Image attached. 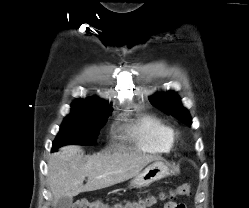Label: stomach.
Masks as SVG:
<instances>
[{
    "mask_svg": "<svg viewBox=\"0 0 249 208\" xmlns=\"http://www.w3.org/2000/svg\"><path fill=\"white\" fill-rule=\"evenodd\" d=\"M168 175H170L168 166L161 161H156L136 175L130 182V186L133 188L148 187L153 182L165 178Z\"/></svg>",
    "mask_w": 249,
    "mask_h": 208,
    "instance_id": "stomach-1",
    "label": "stomach"
}]
</instances>
